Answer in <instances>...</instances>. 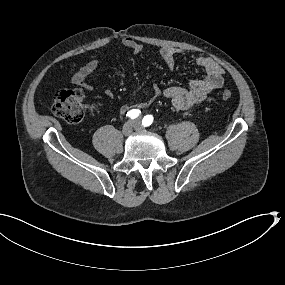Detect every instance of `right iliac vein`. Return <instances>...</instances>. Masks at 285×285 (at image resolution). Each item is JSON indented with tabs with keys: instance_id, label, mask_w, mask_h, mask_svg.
<instances>
[{
	"instance_id": "1",
	"label": "right iliac vein",
	"mask_w": 285,
	"mask_h": 285,
	"mask_svg": "<svg viewBox=\"0 0 285 285\" xmlns=\"http://www.w3.org/2000/svg\"><path fill=\"white\" fill-rule=\"evenodd\" d=\"M137 124L134 123L133 121H129L126 124H124L123 128H122V133L125 136H129L133 130L136 128Z\"/></svg>"
}]
</instances>
